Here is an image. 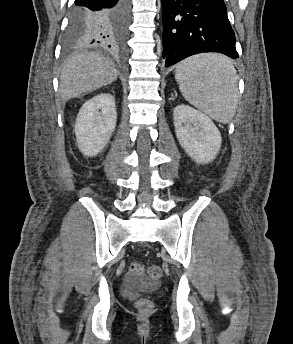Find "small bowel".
<instances>
[{
	"label": "small bowel",
	"instance_id": "small-bowel-1",
	"mask_svg": "<svg viewBox=\"0 0 293 344\" xmlns=\"http://www.w3.org/2000/svg\"><path fill=\"white\" fill-rule=\"evenodd\" d=\"M122 292L127 298H133L137 293V287L134 279L129 274L126 276L125 285Z\"/></svg>",
	"mask_w": 293,
	"mask_h": 344
}]
</instances>
